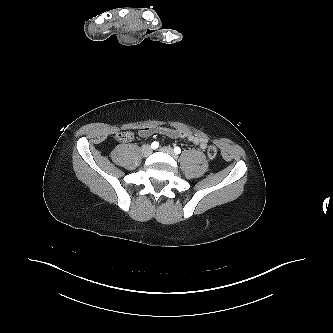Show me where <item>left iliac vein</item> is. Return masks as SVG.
<instances>
[{
    "label": "left iliac vein",
    "instance_id": "left-iliac-vein-1",
    "mask_svg": "<svg viewBox=\"0 0 333 333\" xmlns=\"http://www.w3.org/2000/svg\"><path fill=\"white\" fill-rule=\"evenodd\" d=\"M160 150L162 152H165V153L171 155L175 159L177 158V155L175 154V152L173 151V149L171 147H162V148H160Z\"/></svg>",
    "mask_w": 333,
    "mask_h": 333
}]
</instances>
